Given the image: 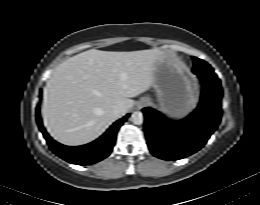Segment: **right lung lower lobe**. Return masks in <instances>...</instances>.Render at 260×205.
Masks as SVG:
<instances>
[{
	"label": "right lung lower lobe",
	"mask_w": 260,
	"mask_h": 205,
	"mask_svg": "<svg viewBox=\"0 0 260 205\" xmlns=\"http://www.w3.org/2000/svg\"><path fill=\"white\" fill-rule=\"evenodd\" d=\"M129 117L126 115L115 122L99 139L82 146L70 147L54 141L43 127L40 117V107L36 108V119L50 149L60 158L77 165H89L106 158L115 144L119 127Z\"/></svg>",
	"instance_id": "98d812e1"
}]
</instances>
